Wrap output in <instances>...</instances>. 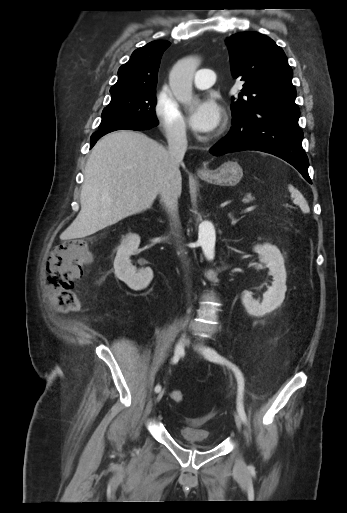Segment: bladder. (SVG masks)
Masks as SVG:
<instances>
[{
	"instance_id": "bladder-1",
	"label": "bladder",
	"mask_w": 347,
	"mask_h": 513,
	"mask_svg": "<svg viewBox=\"0 0 347 513\" xmlns=\"http://www.w3.org/2000/svg\"><path fill=\"white\" fill-rule=\"evenodd\" d=\"M180 438L187 446L204 451L212 450L218 446V442L211 437L210 431L206 428H197L191 425L184 426L180 429Z\"/></svg>"
}]
</instances>
